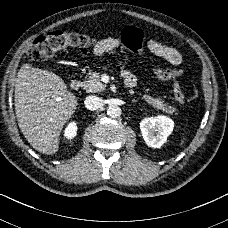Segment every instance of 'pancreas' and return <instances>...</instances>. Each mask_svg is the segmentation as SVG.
Returning <instances> with one entry per match:
<instances>
[{
	"mask_svg": "<svg viewBox=\"0 0 228 228\" xmlns=\"http://www.w3.org/2000/svg\"><path fill=\"white\" fill-rule=\"evenodd\" d=\"M106 85L100 81V74L97 72H93L89 74L86 81H84L83 89L87 93H97L105 90ZM143 99L151 104L154 108L162 110L168 114H173L176 112V108L169 106L168 104L164 103L160 98H153L149 95H143Z\"/></svg>",
	"mask_w": 228,
	"mask_h": 228,
	"instance_id": "1",
	"label": "pancreas"
}]
</instances>
